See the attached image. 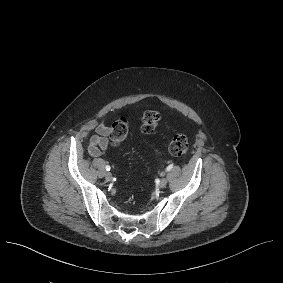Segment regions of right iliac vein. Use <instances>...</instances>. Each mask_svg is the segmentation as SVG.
<instances>
[{
  "mask_svg": "<svg viewBox=\"0 0 283 283\" xmlns=\"http://www.w3.org/2000/svg\"><path fill=\"white\" fill-rule=\"evenodd\" d=\"M105 179L107 181H111L112 180V174L110 172L105 173Z\"/></svg>",
  "mask_w": 283,
  "mask_h": 283,
  "instance_id": "1",
  "label": "right iliac vein"
}]
</instances>
